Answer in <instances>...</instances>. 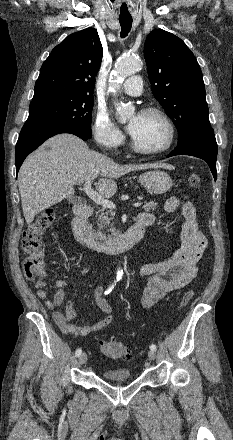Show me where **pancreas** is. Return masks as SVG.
Returning a JSON list of instances; mask_svg holds the SVG:
<instances>
[{
    "label": "pancreas",
    "mask_w": 233,
    "mask_h": 440,
    "mask_svg": "<svg viewBox=\"0 0 233 440\" xmlns=\"http://www.w3.org/2000/svg\"><path fill=\"white\" fill-rule=\"evenodd\" d=\"M157 208H158L157 203H156V202H153V201L145 202L144 205H143V209H144L145 211H147V212H149V211H155ZM109 213H111V216H114V213H113V212H111V211H110V212L107 211V212H105V213L102 212L101 215H100L99 218H98V228H99V230H98L97 233H98V235H100L101 237H105V235L102 234L101 230H102L103 228H105L107 225L109 226L110 220L112 219V217H111V218L108 217V214H109ZM109 231L112 233V235H116V234H117V232H116L115 228L113 227V225H111V228L109 229Z\"/></svg>",
    "instance_id": "pancreas-1"
}]
</instances>
